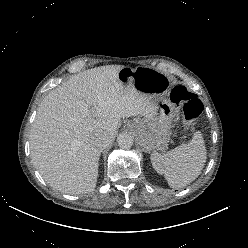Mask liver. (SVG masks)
I'll return each instance as SVG.
<instances>
[{
	"label": "liver",
	"mask_w": 248,
	"mask_h": 248,
	"mask_svg": "<svg viewBox=\"0 0 248 248\" xmlns=\"http://www.w3.org/2000/svg\"><path fill=\"white\" fill-rule=\"evenodd\" d=\"M122 68L107 65L79 73L39 105L30 130L31 159L53 188L67 194L92 192L103 150L93 140L107 134L111 143L121 118L153 113L154 96L139 92L133 83L122 84Z\"/></svg>",
	"instance_id": "1"
}]
</instances>
